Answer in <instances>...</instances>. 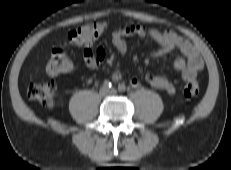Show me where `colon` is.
<instances>
[{
  "mask_svg": "<svg viewBox=\"0 0 231 170\" xmlns=\"http://www.w3.org/2000/svg\"><path fill=\"white\" fill-rule=\"evenodd\" d=\"M104 24L92 22L80 26L69 33L65 43L55 46L52 50L50 60L47 64V72L52 75L69 73L73 69V63L68 57L67 48L70 46H86L97 40L104 31ZM199 85L195 80H187L181 87L184 97H194L199 94ZM58 88L54 81L32 82L27 87L28 97L39 102L45 107L53 108L57 105Z\"/></svg>",
  "mask_w": 231,
  "mask_h": 170,
  "instance_id": "1",
  "label": "colon"
}]
</instances>
